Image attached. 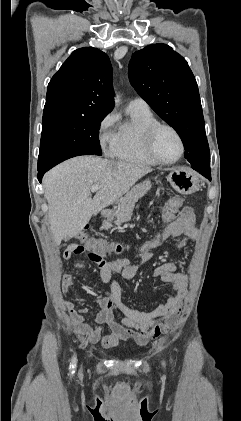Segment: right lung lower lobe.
<instances>
[{
    "instance_id": "obj_1",
    "label": "right lung lower lobe",
    "mask_w": 241,
    "mask_h": 421,
    "mask_svg": "<svg viewBox=\"0 0 241 421\" xmlns=\"http://www.w3.org/2000/svg\"><path fill=\"white\" fill-rule=\"evenodd\" d=\"M50 168H52V167H43V168H38V180H39V182H41V180H42V177H43V175L45 174V172L47 171V170H49Z\"/></svg>"
}]
</instances>
